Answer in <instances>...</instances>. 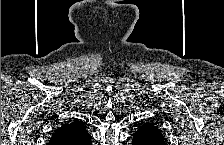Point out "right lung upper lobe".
<instances>
[{"label": "right lung upper lobe", "instance_id": "1", "mask_svg": "<svg viewBox=\"0 0 224 145\" xmlns=\"http://www.w3.org/2000/svg\"><path fill=\"white\" fill-rule=\"evenodd\" d=\"M91 136L78 121L63 124L52 135L49 145H86Z\"/></svg>", "mask_w": 224, "mask_h": 145}]
</instances>
